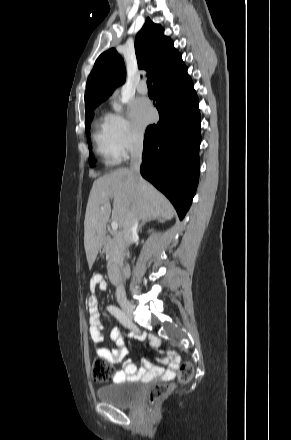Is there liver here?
Masks as SVG:
<instances>
[{"mask_svg":"<svg viewBox=\"0 0 291 440\" xmlns=\"http://www.w3.org/2000/svg\"><path fill=\"white\" fill-rule=\"evenodd\" d=\"M110 200H113L112 209ZM131 208L142 221L156 218L170 220L174 216V209L166 197L130 169H117L94 181L84 220V247L90 268L104 243L110 215L119 227H123Z\"/></svg>","mask_w":291,"mask_h":440,"instance_id":"liver-1","label":"liver"}]
</instances>
